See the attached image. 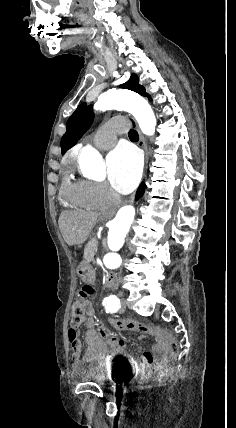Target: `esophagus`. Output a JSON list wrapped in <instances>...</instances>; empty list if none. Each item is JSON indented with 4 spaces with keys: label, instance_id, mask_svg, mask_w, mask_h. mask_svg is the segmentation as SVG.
Segmentation results:
<instances>
[{
    "label": "esophagus",
    "instance_id": "obj_1",
    "mask_svg": "<svg viewBox=\"0 0 236 428\" xmlns=\"http://www.w3.org/2000/svg\"><path fill=\"white\" fill-rule=\"evenodd\" d=\"M127 118H128V121L130 122L131 126L135 128V130L137 131V133L139 135V142L138 143L147 151V145L145 143L144 136L140 132V129H139L136 121L131 116H127Z\"/></svg>",
    "mask_w": 236,
    "mask_h": 428
}]
</instances>
